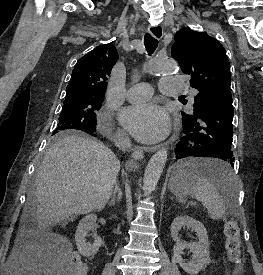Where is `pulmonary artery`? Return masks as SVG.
Here are the masks:
<instances>
[{
  "label": "pulmonary artery",
  "mask_w": 263,
  "mask_h": 275,
  "mask_svg": "<svg viewBox=\"0 0 263 275\" xmlns=\"http://www.w3.org/2000/svg\"><path fill=\"white\" fill-rule=\"evenodd\" d=\"M160 92L167 96H178L187 92V85L178 77H166L160 81ZM191 99L195 96L193 90L189 91ZM153 94L150 84L141 82L131 86L127 91V99L131 102H143Z\"/></svg>",
  "instance_id": "pulmonary-artery-1"
}]
</instances>
